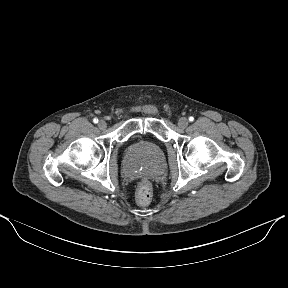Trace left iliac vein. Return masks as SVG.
I'll list each match as a JSON object with an SVG mask.
<instances>
[{
  "label": "left iliac vein",
  "instance_id": "obj_1",
  "mask_svg": "<svg viewBox=\"0 0 288 288\" xmlns=\"http://www.w3.org/2000/svg\"><path fill=\"white\" fill-rule=\"evenodd\" d=\"M188 124H189V121L185 117L180 118L179 121H178V126L180 128H183V129L186 128L188 126Z\"/></svg>",
  "mask_w": 288,
  "mask_h": 288
}]
</instances>
